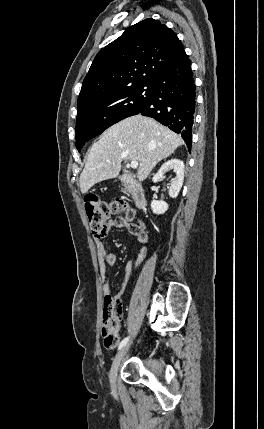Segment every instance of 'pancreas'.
<instances>
[{
  "label": "pancreas",
  "instance_id": "obj_1",
  "mask_svg": "<svg viewBox=\"0 0 264 429\" xmlns=\"http://www.w3.org/2000/svg\"><path fill=\"white\" fill-rule=\"evenodd\" d=\"M123 191H124V192H127V191H129V190H128L127 188H125V189H123Z\"/></svg>",
  "mask_w": 264,
  "mask_h": 429
}]
</instances>
